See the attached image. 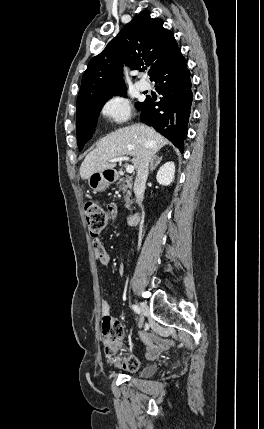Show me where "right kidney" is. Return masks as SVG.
I'll return each mask as SVG.
<instances>
[{
    "label": "right kidney",
    "instance_id": "right-kidney-1",
    "mask_svg": "<svg viewBox=\"0 0 264 429\" xmlns=\"http://www.w3.org/2000/svg\"><path fill=\"white\" fill-rule=\"evenodd\" d=\"M174 174H175V165L173 162H166L164 165H162L157 174L156 179L157 182L163 186L170 185L174 180Z\"/></svg>",
    "mask_w": 264,
    "mask_h": 429
}]
</instances>
